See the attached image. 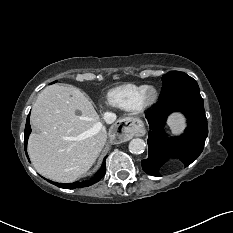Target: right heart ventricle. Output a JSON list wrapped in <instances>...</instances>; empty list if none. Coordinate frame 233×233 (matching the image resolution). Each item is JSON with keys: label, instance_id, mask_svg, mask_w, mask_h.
<instances>
[{"label": "right heart ventricle", "instance_id": "right-heart-ventricle-1", "mask_svg": "<svg viewBox=\"0 0 233 233\" xmlns=\"http://www.w3.org/2000/svg\"><path fill=\"white\" fill-rule=\"evenodd\" d=\"M146 85L124 84L112 88L107 93L108 103L125 110H136Z\"/></svg>", "mask_w": 233, "mask_h": 233}]
</instances>
